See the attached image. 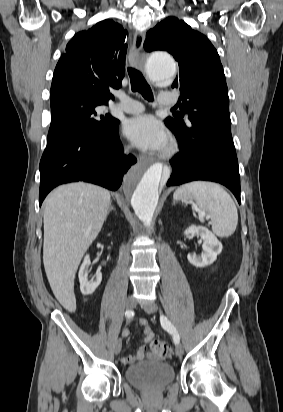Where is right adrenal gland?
Returning <instances> with one entry per match:
<instances>
[{"label": "right adrenal gland", "instance_id": "1", "mask_svg": "<svg viewBox=\"0 0 283 412\" xmlns=\"http://www.w3.org/2000/svg\"><path fill=\"white\" fill-rule=\"evenodd\" d=\"M115 208L113 207V205L110 203L108 212H107V216L110 214L111 211H113Z\"/></svg>", "mask_w": 283, "mask_h": 412}]
</instances>
